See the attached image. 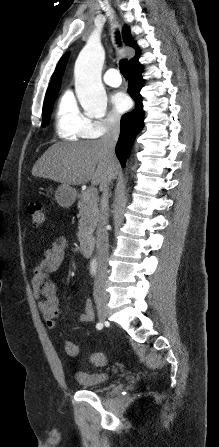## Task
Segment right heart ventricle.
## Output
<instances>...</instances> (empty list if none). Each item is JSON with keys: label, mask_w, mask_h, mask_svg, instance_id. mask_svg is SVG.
Masks as SVG:
<instances>
[{"label": "right heart ventricle", "mask_w": 219, "mask_h": 447, "mask_svg": "<svg viewBox=\"0 0 219 447\" xmlns=\"http://www.w3.org/2000/svg\"><path fill=\"white\" fill-rule=\"evenodd\" d=\"M57 136L65 141L76 142L96 137L93 122L83 114L71 92H65L59 99L55 112Z\"/></svg>", "instance_id": "right-heart-ventricle-1"}]
</instances>
